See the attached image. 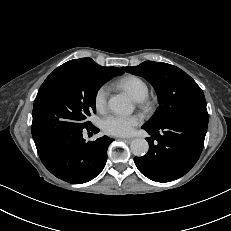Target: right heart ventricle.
<instances>
[{
  "mask_svg": "<svg viewBox=\"0 0 231 231\" xmlns=\"http://www.w3.org/2000/svg\"><path fill=\"white\" fill-rule=\"evenodd\" d=\"M116 86L130 93V95L140 101L147 97L149 93L148 84L140 77L127 75L116 82Z\"/></svg>",
  "mask_w": 231,
  "mask_h": 231,
  "instance_id": "right-heart-ventricle-1",
  "label": "right heart ventricle"
}]
</instances>
